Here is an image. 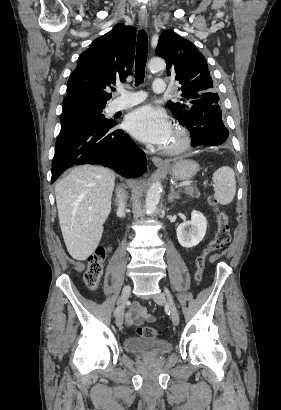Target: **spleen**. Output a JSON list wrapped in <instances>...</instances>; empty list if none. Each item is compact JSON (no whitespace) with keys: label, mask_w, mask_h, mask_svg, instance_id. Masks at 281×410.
Instances as JSON below:
<instances>
[{"label":"spleen","mask_w":281,"mask_h":410,"mask_svg":"<svg viewBox=\"0 0 281 410\" xmlns=\"http://www.w3.org/2000/svg\"><path fill=\"white\" fill-rule=\"evenodd\" d=\"M214 196L218 203L227 205L231 203L236 193L235 173L232 168L224 166L214 172Z\"/></svg>","instance_id":"3e777b00"}]
</instances>
